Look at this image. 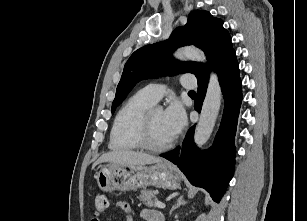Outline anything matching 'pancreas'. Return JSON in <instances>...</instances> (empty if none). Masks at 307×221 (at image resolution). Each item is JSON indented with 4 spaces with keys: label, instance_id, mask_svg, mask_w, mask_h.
<instances>
[{
    "label": "pancreas",
    "instance_id": "obj_1",
    "mask_svg": "<svg viewBox=\"0 0 307 221\" xmlns=\"http://www.w3.org/2000/svg\"><path fill=\"white\" fill-rule=\"evenodd\" d=\"M146 206L153 207L156 201V192L154 190H143L138 197Z\"/></svg>",
    "mask_w": 307,
    "mask_h": 221
}]
</instances>
